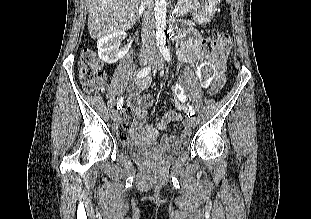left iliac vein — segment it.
Wrapping results in <instances>:
<instances>
[{"mask_svg":"<svg viewBox=\"0 0 311 219\" xmlns=\"http://www.w3.org/2000/svg\"><path fill=\"white\" fill-rule=\"evenodd\" d=\"M150 64L157 69H161L164 66V61L161 57H157L151 60ZM196 118L194 116H191L188 119V124L191 127H195L196 126Z\"/></svg>","mask_w":311,"mask_h":219,"instance_id":"4c4485c4","label":"left iliac vein"}]
</instances>
